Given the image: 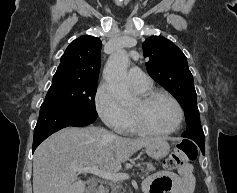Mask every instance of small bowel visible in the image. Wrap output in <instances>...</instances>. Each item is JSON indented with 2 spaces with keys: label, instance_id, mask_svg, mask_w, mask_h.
<instances>
[{
  "label": "small bowel",
  "instance_id": "1",
  "mask_svg": "<svg viewBox=\"0 0 237 193\" xmlns=\"http://www.w3.org/2000/svg\"><path fill=\"white\" fill-rule=\"evenodd\" d=\"M145 193H195L194 166L184 164L177 172L158 171L143 182Z\"/></svg>",
  "mask_w": 237,
  "mask_h": 193
}]
</instances>
